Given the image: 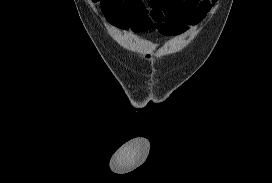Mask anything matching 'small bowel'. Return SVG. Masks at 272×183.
Returning <instances> with one entry per match:
<instances>
[{"instance_id": "small-bowel-1", "label": "small bowel", "mask_w": 272, "mask_h": 183, "mask_svg": "<svg viewBox=\"0 0 272 183\" xmlns=\"http://www.w3.org/2000/svg\"><path fill=\"white\" fill-rule=\"evenodd\" d=\"M214 0H99L102 12L116 27L134 33L152 28L170 36L199 23Z\"/></svg>"}]
</instances>
